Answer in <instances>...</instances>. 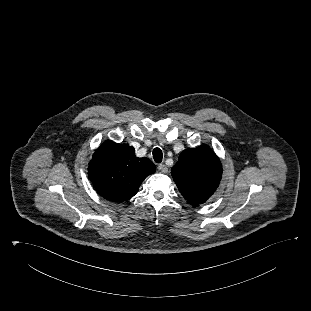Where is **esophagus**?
Instances as JSON below:
<instances>
[{
  "mask_svg": "<svg viewBox=\"0 0 311 311\" xmlns=\"http://www.w3.org/2000/svg\"><path fill=\"white\" fill-rule=\"evenodd\" d=\"M158 170L162 173H167L168 172V168L164 165V164H159L158 165Z\"/></svg>",
  "mask_w": 311,
  "mask_h": 311,
  "instance_id": "34e87169",
  "label": "esophagus"
}]
</instances>
